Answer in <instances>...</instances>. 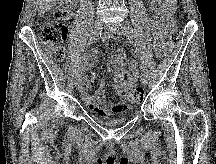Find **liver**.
I'll list each match as a JSON object with an SVG mask.
<instances>
[{
  "label": "liver",
  "mask_w": 216,
  "mask_h": 164,
  "mask_svg": "<svg viewBox=\"0 0 216 164\" xmlns=\"http://www.w3.org/2000/svg\"><path fill=\"white\" fill-rule=\"evenodd\" d=\"M60 0H39V12L44 14L52 9Z\"/></svg>",
  "instance_id": "6515ba94"
}]
</instances>
